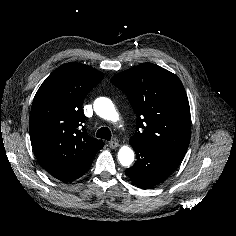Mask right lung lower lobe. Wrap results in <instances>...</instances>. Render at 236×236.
I'll return each mask as SVG.
<instances>
[{"mask_svg": "<svg viewBox=\"0 0 236 236\" xmlns=\"http://www.w3.org/2000/svg\"><path fill=\"white\" fill-rule=\"evenodd\" d=\"M92 161L86 162L84 164H82L79 167L76 168H72V169H68L65 171H61L58 172L56 174H52L53 177L57 178L58 180L62 181V182H70L73 181L79 177H81L85 172L88 171V169L90 168Z\"/></svg>", "mask_w": 236, "mask_h": 236, "instance_id": "obj_1", "label": "right lung lower lobe"}]
</instances>
